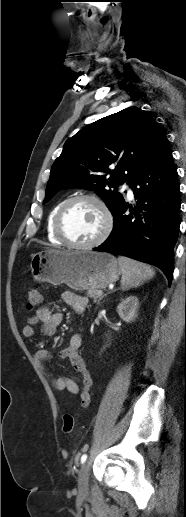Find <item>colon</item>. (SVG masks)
<instances>
[{
	"instance_id": "obj_1",
	"label": "colon",
	"mask_w": 186,
	"mask_h": 517,
	"mask_svg": "<svg viewBox=\"0 0 186 517\" xmlns=\"http://www.w3.org/2000/svg\"><path fill=\"white\" fill-rule=\"evenodd\" d=\"M42 303V296L37 289H31L28 292L26 307L29 310L38 308ZM75 425V419L72 414H65L63 416V432L69 434L73 431Z\"/></svg>"
}]
</instances>
